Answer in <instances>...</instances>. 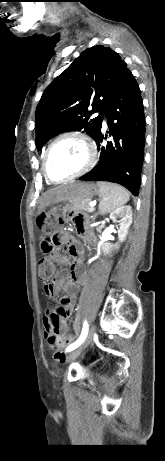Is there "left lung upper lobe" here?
<instances>
[{
	"mask_svg": "<svg viewBox=\"0 0 165 461\" xmlns=\"http://www.w3.org/2000/svg\"><path fill=\"white\" fill-rule=\"evenodd\" d=\"M127 70L118 53L103 45L88 48L45 89L36 109V144L40 150L53 136L86 132L94 139L105 109ZM89 108H92L89 111ZM100 112L90 119L92 113Z\"/></svg>",
	"mask_w": 165,
	"mask_h": 461,
	"instance_id": "1",
	"label": "left lung upper lobe"
}]
</instances>
